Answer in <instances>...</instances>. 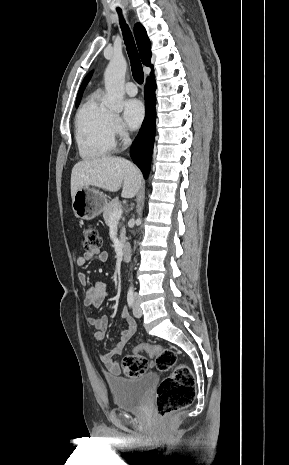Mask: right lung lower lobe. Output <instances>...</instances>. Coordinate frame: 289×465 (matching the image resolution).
I'll return each mask as SVG.
<instances>
[{
  "label": "right lung lower lobe",
  "instance_id": "1",
  "mask_svg": "<svg viewBox=\"0 0 289 465\" xmlns=\"http://www.w3.org/2000/svg\"><path fill=\"white\" fill-rule=\"evenodd\" d=\"M155 87V79L154 76H152L148 78L145 86L147 115L130 149L131 158L141 169L144 178H147L150 171L155 137Z\"/></svg>",
  "mask_w": 289,
  "mask_h": 465
}]
</instances>
